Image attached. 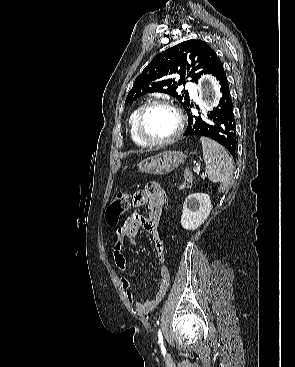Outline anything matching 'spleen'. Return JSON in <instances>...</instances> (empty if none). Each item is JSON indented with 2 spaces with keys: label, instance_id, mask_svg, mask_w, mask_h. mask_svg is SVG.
<instances>
[{
  "label": "spleen",
  "instance_id": "obj_1",
  "mask_svg": "<svg viewBox=\"0 0 295 367\" xmlns=\"http://www.w3.org/2000/svg\"><path fill=\"white\" fill-rule=\"evenodd\" d=\"M205 172L210 181L220 183L219 191H226L233 178L232 158L223 146L217 142L201 137Z\"/></svg>",
  "mask_w": 295,
  "mask_h": 367
}]
</instances>
